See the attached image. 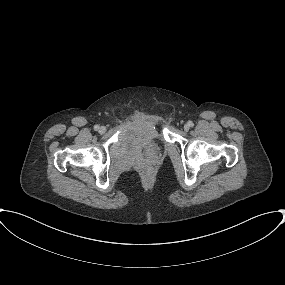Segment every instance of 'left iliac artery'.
<instances>
[{
  "mask_svg": "<svg viewBox=\"0 0 285 285\" xmlns=\"http://www.w3.org/2000/svg\"><path fill=\"white\" fill-rule=\"evenodd\" d=\"M188 125L192 127L194 124L192 121H188Z\"/></svg>",
  "mask_w": 285,
  "mask_h": 285,
  "instance_id": "obj_1",
  "label": "left iliac artery"
}]
</instances>
